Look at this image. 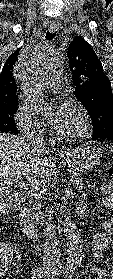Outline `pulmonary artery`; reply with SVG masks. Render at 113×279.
<instances>
[{
	"label": "pulmonary artery",
	"mask_w": 113,
	"mask_h": 279,
	"mask_svg": "<svg viewBox=\"0 0 113 279\" xmlns=\"http://www.w3.org/2000/svg\"><path fill=\"white\" fill-rule=\"evenodd\" d=\"M63 78L61 73H51L44 81V87L48 90H57L61 87L60 80Z\"/></svg>",
	"instance_id": "e3ab8cb5"
}]
</instances>
